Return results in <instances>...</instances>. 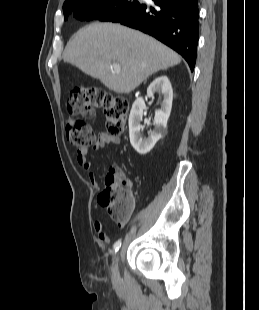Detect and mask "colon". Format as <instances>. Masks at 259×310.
Returning <instances> with one entry per match:
<instances>
[{
	"mask_svg": "<svg viewBox=\"0 0 259 310\" xmlns=\"http://www.w3.org/2000/svg\"><path fill=\"white\" fill-rule=\"evenodd\" d=\"M128 110L129 103L125 98L104 89L95 86L74 88L67 100V138L79 148L94 146L96 135L81 117H92L97 111H102L105 116L107 133L118 136L124 131ZM105 183L106 187L98 195L97 203L112 221L120 223L127 218L133 206L130 185L119 179L115 168L109 169Z\"/></svg>",
	"mask_w": 259,
	"mask_h": 310,
	"instance_id": "colon-1",
	"label": "colon"
}]
</instances>
